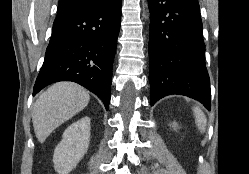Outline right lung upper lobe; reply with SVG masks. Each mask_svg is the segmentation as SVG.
<instances>
[{
  "instance_id": "cb5924a9",
  "label": "right lung upper lobe",
  "mask_w": 249,
  "mask_h": 174,
  "mask_svg": "<svg viewBox=\"0 0 249 174\" xmlns=\"http://www.w3.org/2000/svg\"><path fill=\"white\" fill-rule=\"evenodd\" d=\"M116 0H59L58 13L55 20L64 19L77 12L110 4Z\"/></svg>"
}]
</instances>
